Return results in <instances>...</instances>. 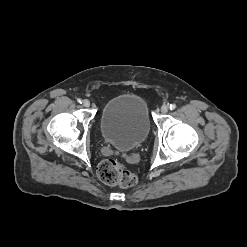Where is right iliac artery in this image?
Segmentation results:
<instances>
[{
  "instance_id": "82829eb1",
  "label": "right iliac artery",
  "mask_w": 247,
  "mask_h": 247,
  "mask_svg": "<svg viewBox=\"0 0 247 247\" xmlns=\"http://www.w3.org/2000/svg\"><path fill=\"white\" fill-rule=\"evenodd\" d=\"M77 101L79 102V103H82V100L79 98V99H77Z\"/></svg>"
}]
</instances>
